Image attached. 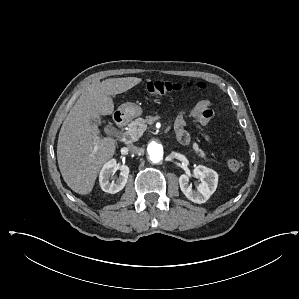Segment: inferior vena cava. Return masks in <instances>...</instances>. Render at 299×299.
<instances>
[{
    "label": "inferior vena cava",
    "instance_id": "obj_1",
    "mask_svg": "<svg viewBox=\"0 0 299 299\" xmlns=\"http://www.w3.org/2000/svg\"><path fill=\"white\" fill-rule=\"evenodd\" d=\"M130 152L134 153V154H141L143 152V149L142 148H139L135 145H129L128 146Z\"/></svg>",
    "mask_w": 299,
    "mask_h": 299
}]
</instances>
